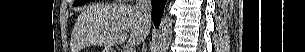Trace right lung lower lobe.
Segmentation results:
<instances>
[{"label":"right lung lower lobe","mask_w":305,"mask_h":52,"mask_svg":"<svg viewBox=\"0 0 305 52\" xmlns=\"http://www.w3.org/2000/svg\"><path fill=\"white\" fill-rule=\"evenodd\" d=\"M166 0H153L152 2V20L156 28L159 27L161 16L164 11Z\"/></svg>","instance_id":"right-lung-lower-lobe-1"}]
</instances>
